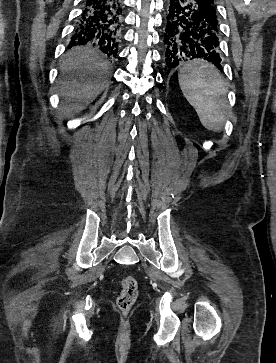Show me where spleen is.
Wrapping results in <instances>:
<instances>
[{
	"instance_id": "obj_1",
	"label": "spleen",
	"mask_w": 276,
	"mask_h": 363,
	"mask_svg": "<svg viewBox=\"0 0 276 363\" xmlns=\"http://www.w3.org/2000/svg\"><path fill=\"white\" fill-rule=\"evenodd\" d=\"M178 80L201 124L208 130L220 131L226 119L228 101L227 86L218 70L205 61H191L180 69Z\"/></svg>"
}]
</instances>
